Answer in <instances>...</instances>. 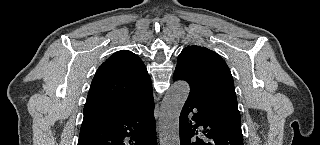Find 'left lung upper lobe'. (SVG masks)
Wrapping results in <instances>:
<instances>
[{
    "label": "left lung upper lobe",
    "instance_id": "5c2ea615",
    "mask_svg": "<svg viewBox=\"0 0 320 145\" xmlns=\"http://www.w3.org/2000/svg\"><path fill=\"white\" fill-rule=\"evenodd\" d=\"M176 68L207 85V103L214 112L241 125L231 72L216 52L197 45L185 47L178 56Z\"/></svg>",
    "mask_w": 320,
    "mask_h": 145
}]
</instances>
